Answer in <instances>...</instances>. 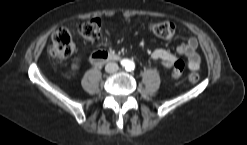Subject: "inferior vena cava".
<instances>
[{"instance_id":"obj_1","label":"inferior vena cava","mask_w":247,"mask_h":145,"mask_svg":"<svg viewBox=\"0 0 247 145\" xmlns=\"http://www.w3.org/2000/svg\"><path fill=\"white\" fill-rule=\"evenodd\" d=\"M118 69H119V66H118V64L115 63V62H109V63H107L106 66H105V71H106L107 73H115V72L118 71Z\"/></svg>"}]
</instances>
